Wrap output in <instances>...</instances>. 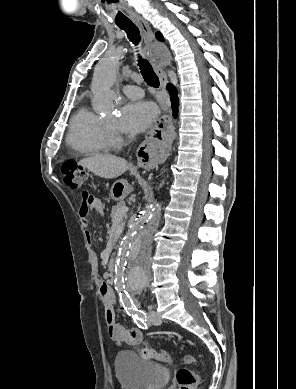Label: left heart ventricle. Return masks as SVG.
I'll return each mask as SVG.
<instances>
[{
  "label": "left heart ventricle",
  "instance_id": "b2bd125f",
  "mask_svg": "<svg viewBox=\"0 0 296 389\" xmlns=\"http://www.w3.org/2000/svg\"><path fill=\"white\" fill-rule=\"evenodd\" d=\"M106 121H108V122H110V123H112V124L115 123V119H114L113 117L107 118Z\"/></svg>",
  "mask_w": 296,
  "mask_h": 389
}]
</instances>
